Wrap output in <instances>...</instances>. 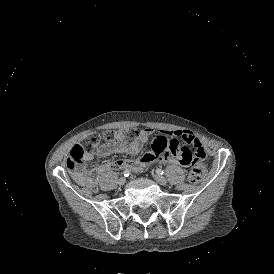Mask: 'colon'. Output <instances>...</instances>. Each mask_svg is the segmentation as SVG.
<instances>
[{
	"label": "colon",
	"mask_w": 274,
	"mask_h": 274,
	"mask_svg": "<svg viewBox=\"0 0 274 274\" xmlns=\"http://www.w3.org/2000/svg\"><path fill=\"white\" fill-rule=\"evenodd\" d=\"M137 129L134 127L125 128L123 130H108L101 135H90L82 141L81 144H75L66 158V166L70 170H76L82 164L84 154L91 152L94 146L101 138L107 141H113L121 137L124 140H133L136 138ZM188 181L191 184H196L201 180L202 172L205 170V163L202 162L197 166H189Z\"/></svg>",
	"instance_id": "5ec220e1"
}]
</instances>
